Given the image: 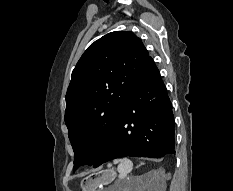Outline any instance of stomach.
Instances as JSON below:
<instances>
[{
	"label": "stomach",
	"mask_w": 233,
	"mask_h": 191,
	"mask_svg": "<svg viewBox=\"0 0 233 191\" xmlns=\"http://www.w3.org/2000/svg\"><path fill=\"white\" fill-rule=\"evenodd\" d=\"M115 177L116 172L113 169H106L92 173L82 180V191H98V188L110 184Z\"/></svg>",
	"instance_id": "1"
}]
</instances>
